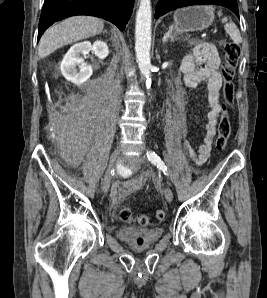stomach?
<instances>
[{"label": "stomach", "mask_w": 267, "mask_h": 298, "mask_svg": "<svg viewBox=\"0 0 267 298\" xmlns=\"http://www.w3.org/2000/svg\"><path fill=\"white\" fill-rule=\"evenodd\" d=\"M214 8L210 6H190L174 13V24L171 30L175 34L201 31L214 21Z\"/></svg>", "instance_id": "stomach-1"}]
</instances>
